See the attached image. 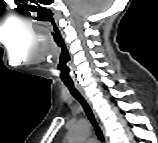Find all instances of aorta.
<instances>
[{
  "label": "aorta",
  "instance_id": "1",
  "mask_svg": "<svg viewBox=\"0 0 158 143\" xmlns=\"http://www.w3.org/2000/svg\"><path fill=\"white\" fill-rule=\"evenodd\" d=\"M89 131V124L86 121L81 120L71 128L68 140L69 142L82 141L89 134Z\"/></svg>",
  "mask_w": 158,
  "mask_h": 143
}]
</instances>
